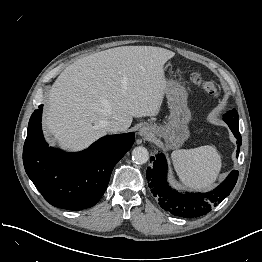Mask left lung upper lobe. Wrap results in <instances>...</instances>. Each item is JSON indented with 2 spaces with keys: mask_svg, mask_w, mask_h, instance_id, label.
I'll use <instances>...</instances> for the list:
<instances>
[{
  "mask_svg": "<svg viewBox=\"0 0 262 262\" xmlns=\"http://www.w3.org/2000/svg\"><path fill=\"white\" fill-rule=\"evenodd\" d=\"M224 121L228 124V123H234L236 125H239V121H238V113L235 109H233L232 111L227 112L224 115Z\"/></svg>",
  "mask_w": 262,
  "mask_h": 262,
  "instance_id": "left-lung-upper-lobe-1",
  "label": "left lung upper lobe"
}]
</instances>
